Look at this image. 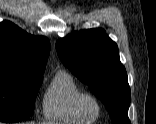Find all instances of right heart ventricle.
Segmentation results:
<instances>
[{"label": "right heart ventricle", "mask_w": 156, "mask_h": 124, "mask_svg": "<svg viewBox=\"0 0 156 124\" xmlns=\"http://www.w3.org/2000/svg\"><path fill=\"white\" fill-rule=\"evenodd\" d=\"M82 92V88L70 73L64 70L57 71L44 95L45 118L66 124L93 123L98 117H85L77 108V98Z\"/></svg>", "instance_id": "right-heart-ventricle-1"}]
</instances>
